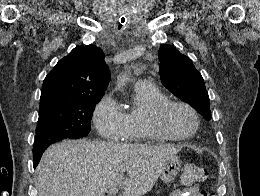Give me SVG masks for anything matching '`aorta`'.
<instances>
[{
  "label": "aorta",
  "mask_w": 260,
  "mask_h": 196,
  "mask_svg": "<svg viewBox=\"0 0 260 196\" xmlns=\"http://www.w3.org/2000/svg\"><path fill=\"white\" fill-rule=\"evenodd\" d=\"M127 80V76L124 74V75H120L118 78H117V84H118V87L119 86H123L125 84V81Z\"/></svg>",
  "instance_id": "1"
}]
</instances>
